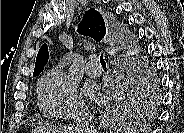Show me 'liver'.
Instances as JSON below:
<instances>
[{
  "label": "liver",
  "mask_w": 184,
  "mask_h": 133,
  "mask_svg": "<svg viewBox=\"0 0 184 133\" xmlns=\"http://www.w3.org/2000/svg\"><path fill=\"white\" fill-rule=\"evenodd\" d=\"M35 133H78L76 127L73 126H65V127H42L38 128L34 131Z\"/></svg>",
  "instance_id": "6515ba94"
}]
</instances>
